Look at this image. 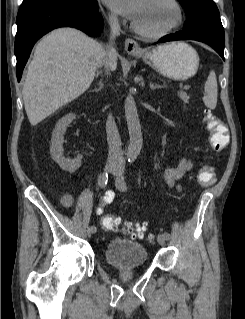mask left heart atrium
Listing matches in <instances>:
<instances>
[{"mask_svg": "<svg viewBox=\"0 0 245 319\" xmlns=\"http://www.w3.org/2000/svg\"><path fill=\"white\" fill-rule=\"evenodd\" d=\"M104 3L114 11L122 14L130 20H135L145 0H103Z\"/></svg>", "mask_w": 245, "mask_h": 319, "instance_id": "39dd6f15", "label": "left heart atrium"}]
</instances>
